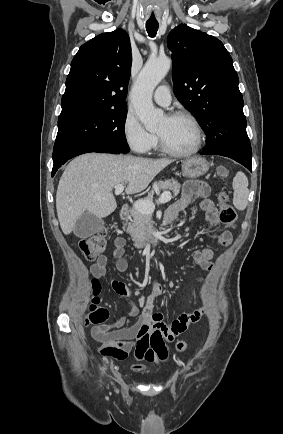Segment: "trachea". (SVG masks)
I'll return each instance as SVG.
<instances>
[{
	"label": "trachea",
	"instance_id": "1",
	"mask_svg": "<svg viewBox=\"0 0 283 434\" xmlns=\"http://www.w3.org/2000/svg\"><path fill=\"white\" fill-rule=\"evenodd\" d=\"M158 28H159V24L157 22L148 21L146 23V30L148 32V35L152 38L156 36Z\"/></svg>",
	"mask_w": 283,
	"mask_h": 434
}]
</instances>
